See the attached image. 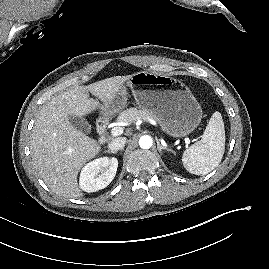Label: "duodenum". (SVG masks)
Instances as JSON below:
<instances>
[{
    "label": "duodenum",
    "mask_w": 269,
    "mask_h": 269,
    "mask_svg": "<svg viewBox=\"0 0 269 269\" xmlns=\"http://www.w3.org/2000/svg\"><path fill=\"white\" fill-rule=\"evenodd\" d=\"M106 129L107 124L104 120H99L97 123V132L99 134L100 142L105 143L106 142Z\"/></svg>",
    "instance_id": "obj_1"
}]
</instances>
